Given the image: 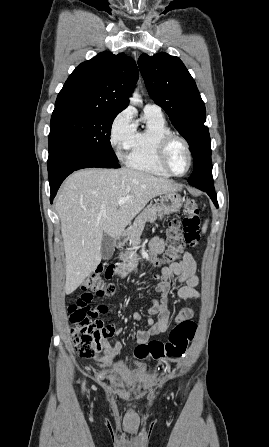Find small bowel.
Listing matches in <instances>:
<instances>
[{"mask_svg":"<svg viewBox=\"0 0 269 447\" xmlns=\"http://www.w3.org/2000/svg\"><path fill=\"white\" fill-rule=\"evenodd\" d=\"M163 249V240L159 237H155L151 242V251L154 254H159ZM158 280L159 282L156 285L158 297L153 300L149 307V313L157 314L158 317L156 319L146 317L142 312H134L133 314L134 320L145 321L148 326L146 330L138 331L137 340L139 343L148 342L155 336L167 331L172 318L169 294L173 280L184 283V285L176 291V297L178 299L188 300L200 297V293L195 288L199 281L198 276L196 275V261L188 252L184 253L183 258L179 263L163 267L158 275ZM193 315L194 313L192 309L185 308L179 312L177 319H190ZM120 350V342L110 344L105 341L103 343V354L96 356L94 361L98 366L109 367L118 356Z\"/></svg>","mask_w":269,"mask_h":447,"instance_id":"small-bowel-1","label":"small bowel"}]
</instances>
